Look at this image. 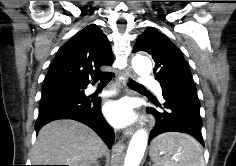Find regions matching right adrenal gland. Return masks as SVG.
<instances>
[{
	"label": "right adrenal gland",
	"instance_id": "1",
	"mask_svg": "<svg viewBox=\"0 0 236 166\" xmlns=\"http://www.w3.org/2000/svg\"><path fill=\"white\" fill-rule=\"evenodd\" d=\"M93 166H99V163L98 162H96V163H94V165Z\"/></svg>",
	"mask_w": 236,
	"mask_h": 166
}]
</instances>
